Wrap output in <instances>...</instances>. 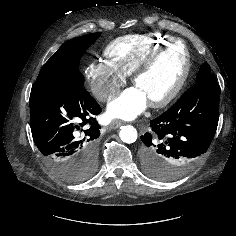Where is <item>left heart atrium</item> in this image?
Listing matches in <instances>:
<instances>
[{"label":"left heart atrium","mask_w":236,"mask_h":236,"mask_svg":"<svg viewBox=\"0 0 236 236\" xmlns=\"http://www.w3.org/2000/svg\"><path fill=\"white\" fill-rule=\"evenodd\" d=\"M146 95L137 87H130L110 101L107 107L108 118L130 120L137 117L147 106Z\"/></svg>","instance_id":"left-heart-atrium-1"}]
</instances>
